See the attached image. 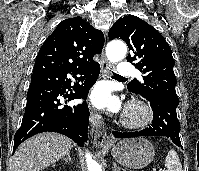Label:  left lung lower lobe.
Listing matches in <instances>:
<instances>
[{"mask_svg":"<svg viewBox=\"0 0 199 171\" xmlns=\"http://www.w3.org/2000/svg\"><path fill=\"white\" fill-rule=\"evenodd\" d=\"M153 111L152 125L136 132L113 131L116 138H132L138 136H164L171 139L178 147L181 146L179 132L180 123L176 108L178 103L163 98H147Z\"/></svg>","mask_w":199,"mask_h":171,"instance_id":"left-lung-lower-lobe-1","label":"left lung lower lobe"}]
</instances>
